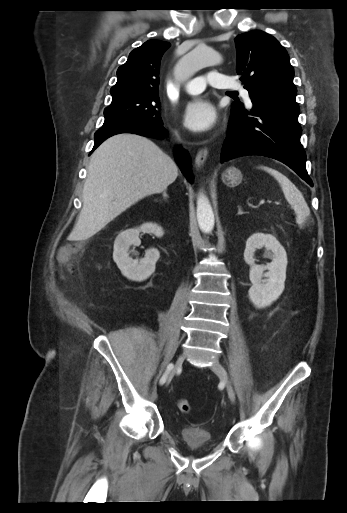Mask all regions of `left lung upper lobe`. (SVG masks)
<instances>
[{
    "instance_id": "5c2ea615",
    "label": "left lung upper lobe",
    "mask_w": 347,
    "mask_h": 513,
    "mask_svg": "<svg viewBox=\"0 0 347 513\" xmlns=\"http://www.w3.org/2000/svg\"><path fill=\"white\" fill-rule=\"evenodd\" d=\"M237 73L250 98L296 97L294 70L285 48L273 36L253 30L235 38ZM233 104H240L234 102Z\"/></svg>"
}]
</instances>
